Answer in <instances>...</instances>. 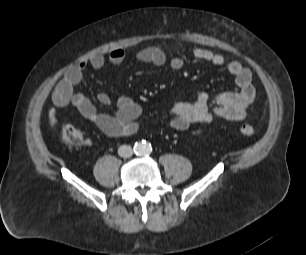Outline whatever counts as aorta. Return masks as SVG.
<instances>
[{
	"mask_svg": "<svg viewBox=\"0 0 306 255\" xmlns=\"http://www.w3.org/2000/svg\"><path fill=\"white\" fill-rule=\"evenodd\" d=\"M134 150L140 156H148L152 152V146L148 142L143 141L136 143Z\"/></svg>",
	"mask_w": 306,
	"mask_h": 255,
	"instance_id": "aorta-1",
	"label": "aorta"
}]
</instances>
